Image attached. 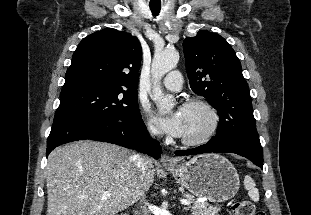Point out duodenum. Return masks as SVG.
<instances>
[{
  "label": "duodenum",
  "mask_w": 311,
  "mask_h": 215,
  "mask_svg": "<svg viewBox=\"0 0 311 215\" xmlns=\"http://www.w3.org/2000/svg\"><path fill=\"white\" fill-rule=\"evenodd\" d=\"M120 215H128V214H120Z\"/></svg>",
  "instance_id": "1"
}]
</instances>
